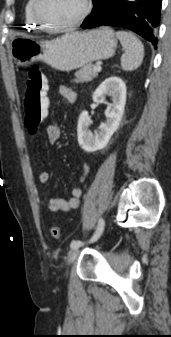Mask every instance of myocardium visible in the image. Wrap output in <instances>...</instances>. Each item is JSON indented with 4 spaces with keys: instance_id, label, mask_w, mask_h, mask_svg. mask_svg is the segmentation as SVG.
Returning <instances> with one entry per match:
<instances>
[{
    "instance_id": "f54148a6",
    "label": "myocardium",
    "mask_w": 171,
    "mask_h": 337,
    "mask_svg": "<svg viewBox=\"0 0 171 337\" xmlns=\"http://www.w3.org/2000/svg\"><path fill=\"white\" fill-rule=\"evenodd\" d=\"M41 3L42 0H34L33 12L35 19L42 26L43 29L51 32H61L78 26L89 16L92 8L91 0H83V10L77 18L65 24L54 25L47 22L42 16L40 10Z\"/></svg>"
}]
</instances>
